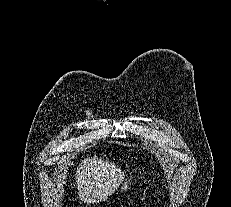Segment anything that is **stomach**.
Segmentation results:
<instances>
[{
	"label": "stomach",
	"mask_w": 231,
	"mask_h": 207,
	"mask_svg": "<svg viewBox=\"0 0 231 207\" xmlns=\"http://www.w3.org/2000/svg\"><path fill=\"white\" fill-rule=\"evenodd\" d=\"M129 189V185L127 182L121 185V192L127 191Z\"/></svg>",
	"instance_id": "obj_1"
}]
</instances>
